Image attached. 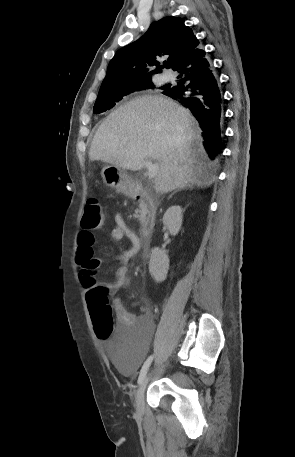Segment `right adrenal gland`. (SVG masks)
Wrapping results in <instances>:
<instances>
[{
  "mask_svg": "<svg viewBox=\"0 0 295 457\" xmlns=\"http://www.w3.org/2000/svg\"><path fill=\"white\" fill-rule=\"evenodd\" d=\"M184 189H193V185L185 186V187L180 188V189H178V190H184ZM178 190H177V191H178ZM174 193H175V192H174ZM174 193H173V194H174ZM173 194H172V195H173ZM172 195H170L169 198H171Z\"/></svg>",
  "mask_w": 295,
  "mask_h": 457,
  "instance_id": "1",
  "label": "right adrenal gland"
}]
</instances>
